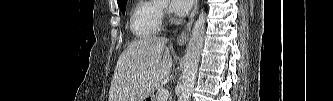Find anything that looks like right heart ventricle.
I'll use <instances>...</instances> for the list:
<instances>
[{"instance_id":"1","label":"right heart ventricle","mask_w":333,"mask_h":101,"mask_svg":"<svg viewBox=\"0 0 333 101\" xmlns=\"http://www.w3.org/2000/svg\"><path fill=\"white\" fill-rule=\"evenodd\" d=\"M130 29L138 39H148L157 35L161 29L160 2L139 1L130 16Z\"/></svg>"}]
</instances>
